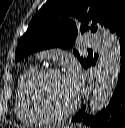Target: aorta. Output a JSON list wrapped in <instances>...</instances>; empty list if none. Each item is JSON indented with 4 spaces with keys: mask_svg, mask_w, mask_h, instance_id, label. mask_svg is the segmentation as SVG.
<instances>
[{
    "mask_svg": "<svg viewBox=\"0 0 125 128\" xmlns=\"http://www.w3.org/2000/svg\"><path fill=\"white\" fill-rule=\"evenodd\" d=\"M103 44L98 60L95 87L89 100V114L96 115L109 101L117 83L120 44L115 34L102 30Z\"/></svg>",
    "mask_w": 125,
    "mask_h": 128,
    "instance_id": "obj_1",
    "label": "aorta"
}]
</instances>
